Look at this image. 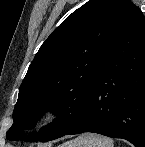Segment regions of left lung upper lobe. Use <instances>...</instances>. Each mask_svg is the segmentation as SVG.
I'll return each mask as SVG.
<instances>
[{
    "label": "left lung upper lobe",
    "mask_w": 145,
    "mask_h": 147,
    "mask_svg": "<svg viewBox=\"0 0 145 147\" xmlns=\"http://www.w3.org/2000/svg\"><path fill=\"white\" fill-rule=\"evenodd\" d=\"M131 2L89 0L42 44L19 88L8 140L47 142L78 122L118 37ZM48 110L58 117L24 135Z\"/></svg>",
    "instance_id": "5c2ea615"
}]
</instances>
